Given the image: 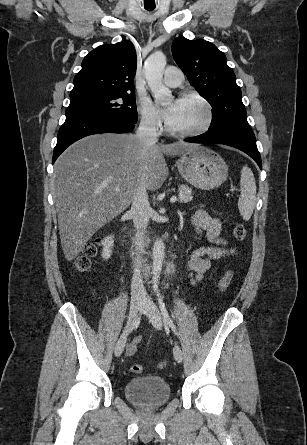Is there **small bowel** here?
<instances>
[{"instance_id": "obj_1", "label": "small bowel", "mask_w": 307, "mask_h": 445, "mask_svg": "<svg viewBox=\"0 0 307 445\" xmlns=\"http://www.w3.org/2000/svg\"><path fill=\"white\" fill-rule=\"evenodd\" d=\"M196 229L202 233L208 244L194 251L189 263V273L192 283H196L211 269L212 262L233 256L237 251L228 246L225 239L220 236L221 222L218 218L211 217L205 210L198 209L192 217ZM141 337L133 339L127 349V354L132 355L137 348Z\"/></svg>"}]
</instances>
